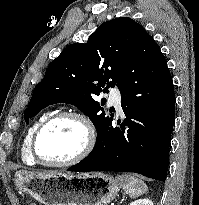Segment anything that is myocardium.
<instances>
[{
	"label": "myocardium",
	"instance_id": "1",
	"mask_svg": "<svg viewBox=\"0 0 199 205\" xmlns=\"http://www.w3.org/2000/svg\"><path fill=\"white\" fill-rule=\"evenodd\" d=\"M63 118H73L79 121L85 130V141L81 150L72 158L61 161V162H48L43 160L38 153L37 142L41 133L53 122L63 119ZM96 142V133L94 126L90 119L81 112L69 110L61 111L54 114H51L34 132L31 142H30V152L33 159L40 165L47 167H66L73 164H76L87 157L93 150Z\"/></svg>",
	"mask_w": 199,
	"mask_h": 205
}]
</instances>
